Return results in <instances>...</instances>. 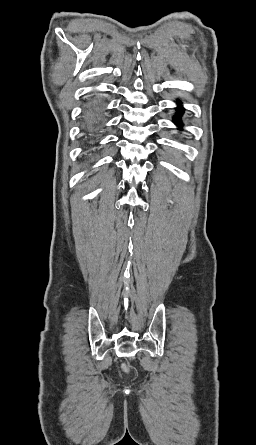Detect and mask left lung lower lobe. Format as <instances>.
<instances>
[{
	"label": "left lung lower lobe",
	"mask_w": 256,
	"mask_h": 445,
	"mask_svg": "<svg viewBox=\"0 0 256 445\" xmlns=\"http://www.w3.org/2000/svg\"><path fill=\"white\" fill-rule=\"evenodd\" d=\"M182 113H183V108L180 107V106L177 107V114H176L175 117H174V122H175V124L178 125L179 127L182 125V123H181V121H180V118H181Z\"/></svg>",
	"instance_id": "obj_1"
}]
</instances>
